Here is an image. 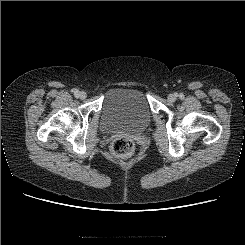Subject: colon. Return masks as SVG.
Masks as SVG:
<instances>
[{"label":"colon","instance_id":"5ec220e1","mask_svg":"<svg viewBox=\"0 0 245 245\" xmlns=\"http://www.w3.org/2000/svg\"><path fill=\"white\" fill-rule=\"evenodd\" d=\"M135 144L130 138L120 137L113 141L111 151L115 156L126 157L133 153Z\"/></svg>","mask_w":245,"mask_h":245}]
</instances>
